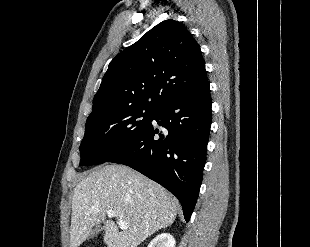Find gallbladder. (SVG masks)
Listing matches in <instances>:
<instances>
[{"mask_svg":"<svg viewBox=\"0 0 310 247\" xmlns=\"http://www.w3.org/2000/svg\"><path fill=\"white\" fill-rule=\"evenodd\" d=\"M101 230H102L101 227L93 228L89 235V239H93Z\"/></svg>","mask_w":310,"mask_h":247,"instance_id":"obj_1","label":"gallbladder"}]
</instances>
